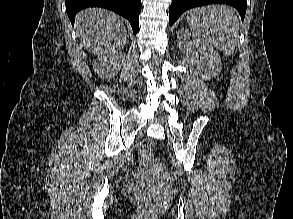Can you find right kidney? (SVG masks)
<instances>
[{
	"instance_id": "right-kidney-1",
	"label": "right kidney",
	"mask_w": 293,
	"mask_h": 219,
	"mask_svg": "<svg viewBox=\"0 0 293 219\" xmlns=\"http://www.w3.org/2000/svg\"><path fill=\"white\" fill-rule=\"evenodd\" d=\"M121 67V58L118 54L112 53L101 56L93 63V69L100 78H112Z\"/></svg>"
}]
</instances>
